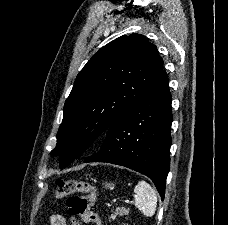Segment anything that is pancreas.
<instances>
[{"label": "pancreas", "mask_w": 228, "mask_h": 225, "mask_svg": "<svg viewBox=\"0 0 228 225\" xmlns=\"http://www.w3.org/2000/svg\"><path fill=\"white\" fill-rule=\"evenodd\" d=\"M129 209H124V207H117L116 213L114 215H111L109 219H116L117 215H128Z\"/></svg>", "instance_id": "1"}]
</instances>
